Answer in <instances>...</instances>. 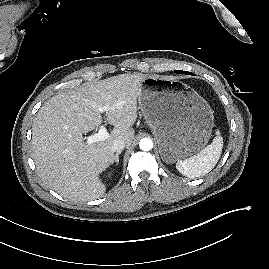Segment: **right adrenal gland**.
Masks as SVG:
<instances>
[{
	"label": "right adrenal gland",
	"mask_w": 269,
	"mask_h": 269,
	"mask_svg": "<svg viewBox=\"0 0 269 269\" xmlns=\"http://www.w3.org/2000/svg\"><path fill=\"white\" fill-rule=\"evenodd\" d=\"M121 154V151L120 152H117L115 157H114V160L112 162V164H114V162L118 165L119 164V155Z\"/></svg>",
	"instance_id": "obj_1"
}]
</instances>
